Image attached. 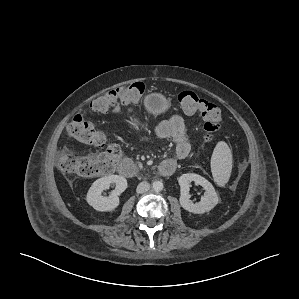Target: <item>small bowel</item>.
<instances>
[{"instance_id":"c3829d8e","label":"small bowel","mask_w":299,"mask_h":299,"mask_svg":"<svg viewBox=\"0 0 299 299\" xmlns=\"http://www.w3.org/2000/svg\"><path fill=\"white\" fill-rule=\"evenodd\" d=\"M133 112V108L119 106L112 110L113 114L129 115ZM188 129L187 121L180 115H173L171 118L162 121L156 128V134L161 139H171L174 141L175 157L168 159L176 162L188 157L191 146L186 140V132Z\"/></svg>"}]
</instances>
